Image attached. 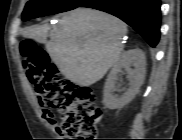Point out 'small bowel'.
<instances>
[{
	"mask_svg": "<svg viewBox=\"0 0 182 140\" xmlns=\"http://www.w3.org/2000/svg\"><path fill=\"white\" fill-rule=\"evenodd\" d=\"M40 105L42 107V116L44 120L55 129L57 133H60V128L58 126V123L56 121L55 115L53 111L47 107H45L44 103L40 102Z\"/></svg>",
	"mask_w": 182,
	"mask_h": 140,
	"instance_id": "obj_1",
	"label": "small bowel"
}]
</instances>
